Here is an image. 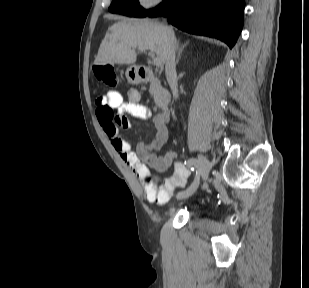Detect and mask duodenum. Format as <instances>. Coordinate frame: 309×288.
<instances>
[{
	"label": "duodenum",
	"instance_id": "410a0bca",
	"mask_svg": "<svg viewBox=\"0 0 309 288\" xmlns=\"http://www.w3.org/2000/svg\"><path fill=\"white\" fill-rule=\"evenodd\" d=\"M137 76L141 82H148L154 78L152 71L144 66H141L137 69ZM171 96L168 91L161 90L156 95L157 105L162 109L166 110L169 106Z\"/></svg>",
	"mask_w": 309,
	"mask_h": 288
}]
</instances>
